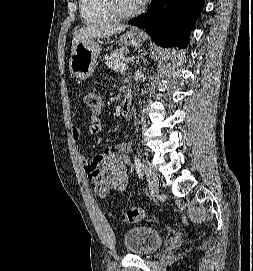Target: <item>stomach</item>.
Instances as JSON below:
<instances>
[{"label": "stomach", "mask_w": 253, "mask_h": 271, "mask_svg": "<svg viewBox=\"0 0 253 271\" xmlns=\"http://www.w3.org/2000/svg\"><path fill=\"white\" fill-rule=\"evenodd\" d=\"M143 40V35L135 30H131L120 36L122 43L135 47L140 46ZM99 54V41L88 39L78 43L73 49L69 61L71 73L81 80L89 78L95 70Z\"/></svg>", "instance_id": "obj_1"}]
</instances>
